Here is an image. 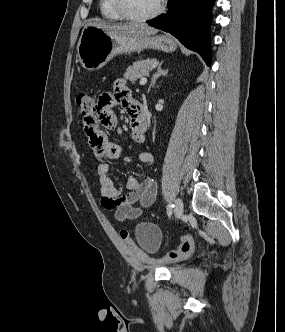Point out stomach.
<instances>
[{
    "label": "stomach",
    "instance_id": "1",
    "mask_svg": "<svg viewBox=\"0 0 285 332\" xmlns=\"http://www.w3.org/2000/svg\"><path fill=\"white\" fill-rule=\"evenodd\" d=\"M173 52L176 43L169 36H132L113 34L110 31L85 26L77 45V56L84 69L95 71L104 67L114 56L143 49Z\"/></svg>",
    "mask_w": 285,
    "mask_h": 332
}]
</instances>
